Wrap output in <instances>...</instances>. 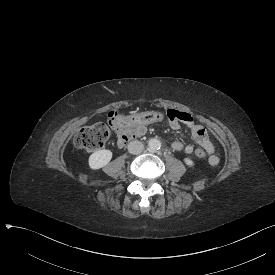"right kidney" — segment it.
<instances>
[{
  "mask_svg": "<svg viewBox=\"0 0 275 275\" xmlns=\"http://www.w3.org/2000/svg\"><path fill=\"white\" fill-rule=\"evenodd\" d=\"M112 158L110 150H98L89 157V166L91 169H100L106 166Z\"/></svg>",
  "mask_w": 275,
  "mask_h": 275,
  "instance_id": "obj_1",
  "label": "right kidney"
}]
</instances>
